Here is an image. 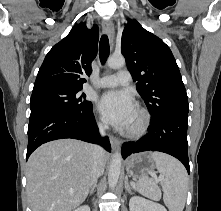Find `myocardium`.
<instances>
[{
    "label": "myocardium",
    "instance_id": "myocardium-1",
    "mask_svg": "<svg viewBox=\"0 0 221 211\" xmlns=\"http://www.w3.org/2000/svg\"><path fill=\"white\" fill-rule=\"evenodd\" d=\"M136 113L139 117L138 124L125 130V135L131 138H138L144 135L150 125V115L145 109L138 107Z\"/></svg>",
    "mask_w": 221,
    "mask_h": 211
}]
</instances>
